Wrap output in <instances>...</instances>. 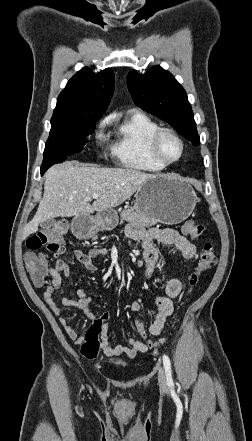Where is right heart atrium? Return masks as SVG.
Instances as JSON below:
<instances>
[{
  "label": "right heart atrium",
  "mask_w": 252,
  "mask_h": 441,
  "mask_svg": "<svg viewBox=\"0 0 252 441\" xmlns=\"http://www.w3.org/2000/svg\"><path fill=\"white\" fill-rule=\"evenodd\" d=\"M103 126H104V122H102L99 126H98V131H97V133H96V140L99 142V141H101L102 139H103V135H102V132H101V129L103 128Z\"/></svg>",
  "instance_id": "right-heart-atrium-1"
}]
</instances>
